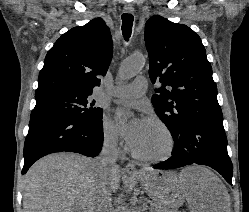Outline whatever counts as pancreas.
Returning a JSON list of instances; mask_svg holds the SVG:
<instances>
[{
  "instance_id": "pancreas-1",
  "label": "pancreas",
  "mask_w": 249,
  "mask_h": 212,
  "mask_svg": "<svg viewBox=\"0 0 249 212\" xmlns=\"http://www.w3.org/2000/svg\"><path fill=\"white\" fill-rule=\"evenodd\" d=\"M155 210H157V208H155ZM157 212H160V210H157Z\"/></svg>"
}]
</instances>
